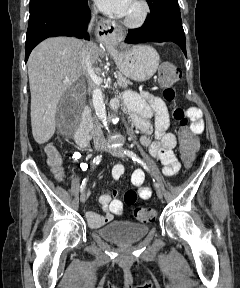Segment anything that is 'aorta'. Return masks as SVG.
<instances>
[{
	"label": "aorta",
	"instance_id": "762f6f07",
	"mask_svg": "<svg viewBox=\"0 0 240 288\" xmlns=\"http://www.w3.org/2000/svg\"><path fill=\"white\" fill-rule=\"evenodd\" d=\"M92 101L98 119L106 124L107 112L103 100V94L100 88L94 89L92 94Z\"/></svg>",
	"mask_w": 240,
	"mask_h": 288
}]
</instances>
